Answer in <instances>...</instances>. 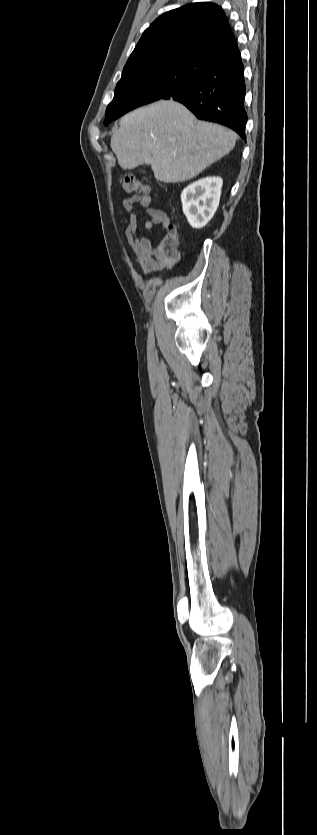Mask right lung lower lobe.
I'll use <instances>...</instances> for the list:
<instances>
[{"label":"right lung lower lobe","instance_id":"1","mask_svg":"<svg viewBox=\"0 0 317 835\" xmlns=\"http://www.w3.org/2000/svg\"><path fill=\"white\" fill-rule=\"evenodd\" d=\"M195 58L205 77L162 99L178 101L198 119L225 125L246 140L244 66L236 40L201 52Z\"/></svg>","mask_w":317,"mask_h":835}]
</instances>
